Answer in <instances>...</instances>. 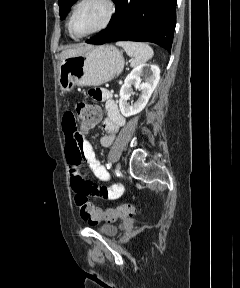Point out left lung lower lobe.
I'll return each instance as SVG.
<instances>
[{
    "instance_id": "left-lung-lower-lobe-1",
    "label": "left lung lower lobe",
    "mask_w": 240,
    "mask_h": 288,
    "mask_svg": "<svg viewBox=\"0 0 240 288\" xmlns=\"http://www.w3.org/2000/svg\"><path fill=\"white\" fill-rule=\"evenodd\" d=\"M113 1L116 11L110 24L87 43L147 41L158 44L171 52L177 0Z\"/></svg>"
}]
</instances>
